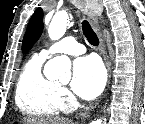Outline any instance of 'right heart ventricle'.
Here are the masks:
<instances>
[{
	"instance_id": "right-heart-ventricle-1",
	"label": "right heart ventricle",
	"mask_w": 145,
	"mask_h": 124,
	"mask_svg": "<svg viewBox=\"0 0 145 124\" xmlns=\"http://www.w3.org/2000/svg\"><path fill=\"white\" fill-rule=\"evenodd\" d=\"M45 59L41 55L31 57L23 67L16 85L17 106L22 112L35 117H52L62 109L58 86L42 73Z\"/></svg>"
}]
</instances>
